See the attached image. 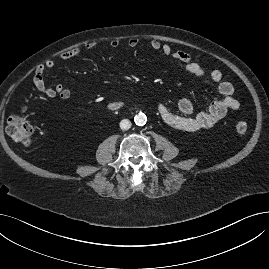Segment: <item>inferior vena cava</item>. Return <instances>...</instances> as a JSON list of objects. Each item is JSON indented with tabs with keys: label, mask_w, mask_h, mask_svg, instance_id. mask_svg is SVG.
<instances>
[{
	"label": "inferior vena cava",
	"mask_w": 269,
	"mask_h": 269,
	"mask_svg": "<svg viewBox=\"0 0 269 269\" xmlns=\"http://www.w3.org/2000/svg\"><path fill=\"white\" fill-rule=\"evenodd\" d=\"M131 127V122L128 119H123L120 122V128L122 130H128Z\"/></svg>",
	"instance_id": "inferior-vena-cava-1"
}]
</instances>
